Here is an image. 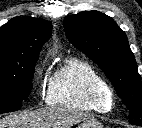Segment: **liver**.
<instances>
[{
  "mask_svg": "<svg viewBox=\"0 0 142 128\" xmlns=\"http://www.w3.org/2000/svg\"><path fill=\"white\" fill-rule=\"evenodd\" d=\"M89 118V114L81 111L61 107L40 108L8 115L0 119V128H71Z\"/></svg>",
  "mask_w": 142,
  "mask_h": 128,
  "instance_id": "1",
  "label": "liver"
}]
</instances>
